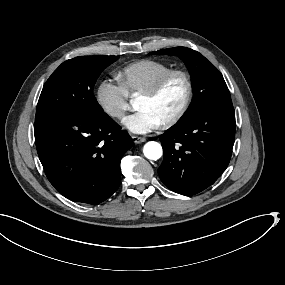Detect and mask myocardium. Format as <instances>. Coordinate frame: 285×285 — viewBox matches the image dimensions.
Segmentation results:
<instances>
[{"label": "myocardium", "mask_w": 285, "mask_h": 285, "mask_svg": "<svg viewBox=\"0 0 285 285\" xmlns=\"http://www.w3.org/2000/svg\"><path fill=\"white\" fill-rule=\"evenodd\" d=\"M176 78H179L181 80L183 86L181 100L175 110L165 119L160 121V125L162 127H169L173 125L174 123L178 122L186 113L189 107L192 91L189 76L181 70L172 71L167 75L163 76L154 86H152L149 90H147L140 97H138L137 100L138 103H141L144 100L157 95L158 93L163 91L168 85H170Z\"/></svg>", "instance_id": "1"}]
</instances>
